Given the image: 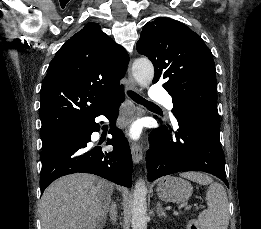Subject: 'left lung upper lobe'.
<instances>
[{"label": "left lung upper lobe", "instance_id": "1", "mask_svg": "<svg viewBox=\"0 0 261 229\" xmlns=\"http://www.w3.org/2000/svg\"><path fill=\"white\" fill-rule=\"evenodd\" d=\"M153 63V83L166 79L176 118L183 110L198 108L218 115L216 70L202 38L186 25L165 17L147 22L136 45Z\"/></svg>", "mask_w": 261, "mask_h": 229}]
</instances>
